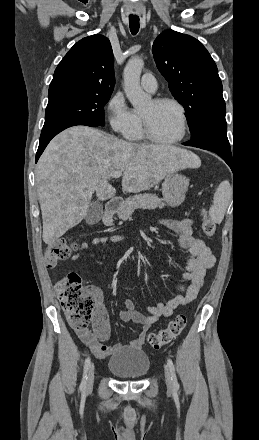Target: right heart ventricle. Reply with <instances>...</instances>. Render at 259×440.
<instances>
[{"mask_svg":"<svg viewBox=\"0 0 259 440\" xmlns=\"http://www.w3.org/2000/svg\"><path fill=\"white\" fill-rule=\"evenodd\" d=\"M134 114L136 117V123L133 126V128L131 129V131L128 133L127 137L133 141H141L145 138V134L143 132L141 115L137 112H134Z\"/></svg>","mask_w":259,"mask_h":440,"instance_id":"e07e8e85","label":"right heart ventricle"}]
</instances>
